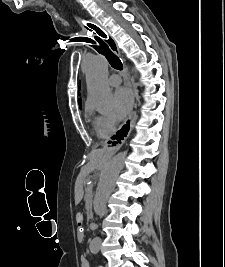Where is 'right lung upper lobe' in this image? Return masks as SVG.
Here are the masks:
<instances>
[{
  "label": "right lung upper lobe",
  "instance_id": "obj_1",
  "mask_svg": "<svg viewBox=\"0 0 225 267\" xmlns=\"http://www.w3.org/2000/svg\"><path fill=\"white\" fill-rule=\"evenodd\" d=\"M79 106H80V108H81V99H79Z\"/></svg>",
  "mask_w": 225,
  "mask_h": 267
}]
</instances>
